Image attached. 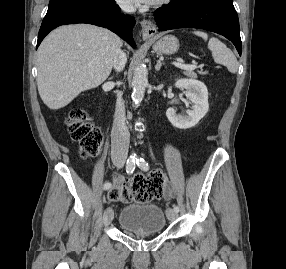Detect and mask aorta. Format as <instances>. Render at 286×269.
<instances>
[{"mask_svg": "<svg viewBox=\"0 0 286 269\" xmlns=\"http://www.w3.org/2000/svg\"><path fill=\"white\" fill-rule=\"evenodd\" d=\"M147 82H148V70L145 64L140 63L135 68L132 81L133 85L132 100L135 104H138L144 98Z\"/></svg>", "mask_w": 286, "mask_h": 269, "instance_id": "aorta-1", "label": "aorta"}]
</instances>
